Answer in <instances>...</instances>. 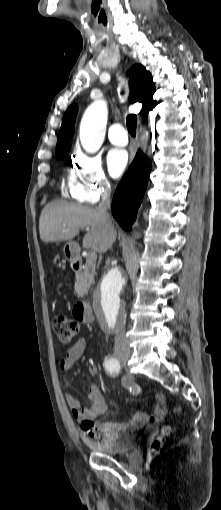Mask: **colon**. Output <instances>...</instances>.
I'll return each instance as SVG.
<instances>
[{"label":"colon","instance_id":"5ec220e1","mask_svg":"<svg viewBox=\"0 0 221 510\" xmlns=\"http://www.w3.org/2000/svg\"><path fill=\"white\" fill-rule=\"evenodd\" d=\"M52 328L56 333L58 339L64 343H71L76 337L79 326L78 323L64 315H57L52 320ZM180 408H175V413L180 416ZM174 430V425H167L162 429V436L170 435ZM102 436L98 435L97 442H101ZM162 448V440L160 438L154 440L151 444L150 451L152 454L158 452Z\"/></svg>","mask_w":221,"mask_h":510}]
</instances>
